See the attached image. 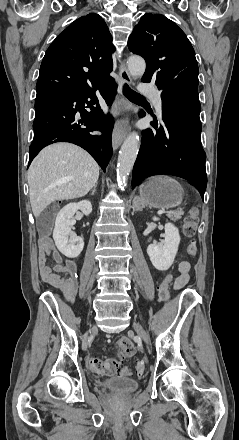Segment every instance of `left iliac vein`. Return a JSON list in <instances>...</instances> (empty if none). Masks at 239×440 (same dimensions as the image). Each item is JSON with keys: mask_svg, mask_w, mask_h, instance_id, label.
<instances>
[{"mask_svg": "<svg viewBox=\"0 0 239 440\" xmlns=\"http://www.w3.org/2000/svg\"><path fill=\"white\" fill-rule=\"evenodd\" d=\"M133 327H134L135 331L137 332V334L144 340V342H146L148 344L149 343V336L146 333V331L144 330V328L137 322L133 323Z\"/></svg>", "mask_w": 239, "mask_h": 440, "instance_id": "4c4485c4", "label": "left iliac vein"}]
</instances>
